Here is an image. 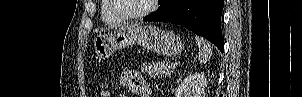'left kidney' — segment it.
Wrapping results in <instances>:
<instances>
[{
  "instance_id": "1",
  "label": "left kidney",
  "mask_w": 302,
  "mask_h": 97,
  "mask_svg": "<svg viewBox=\"0 0 302 97\" xmlns=\"http://www.w3.org/2000/svg\"><path fill=\"white\" fill-rule=\"evenodd\" d=\"M207 79L205 75L195 73L184 78L176 90L175 97H204Z\"/></svg>"
}]
</instances>
